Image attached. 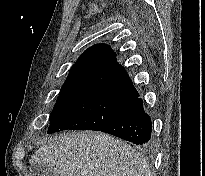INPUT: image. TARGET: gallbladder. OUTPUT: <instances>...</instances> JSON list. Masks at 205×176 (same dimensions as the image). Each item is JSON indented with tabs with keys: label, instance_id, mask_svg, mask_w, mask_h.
<instances>
[{
	"label": "gallbladder",
	"instance_id": "bac80fb5",
	"mask_svg": "<svg viewBox=\"0 0 205 176\" xmlns=\"http://www.w3.org/2000/svg\"><path fill=\"white\" fill-rule=\"evenodd\" d=\"M30 176H53V169L47 164H33L30 167Z\"/></svg>",
	"mask_w": 205,
	"mask_h": 176
}]
</instances>
